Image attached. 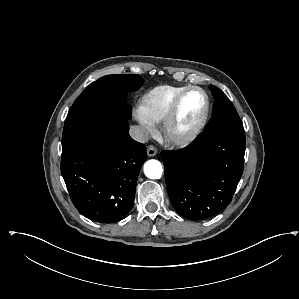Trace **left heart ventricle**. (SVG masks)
Instances as JSON below:
<instances>
[{
    "mask_svg": "<svg viewBox=\"0 0 299 299\" xmlns=\"http://www.w3.org/2000/svg\"><path fill=\"white\" fill-rule=\"evenodd\" d=\"M204 109V98L198 91H192L184 98L176 128L178 131H185L190 128L201 116Z\"/></svg>",
    "mask_w": 299,
    "mask_h": 299,
    "instance_id": "b2bd125f",
    "label": "left heart ventricle"
}]
</instances>
